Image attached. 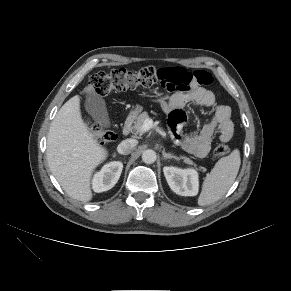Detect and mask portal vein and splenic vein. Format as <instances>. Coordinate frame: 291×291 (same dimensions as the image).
Returning a JSON list of instances; mask_svg holds the SVG:
<instances>
[{
  "label": "portal vein and splenic vein",
  "instance_id": "1",
  "mask_svg": "<svg viewBox=\"0 0 291 291\" xmlns=\"http://www.w3.org/2000/svg\"><path fill=\"white\" fill-rule=\"evenodd\" d=\"M153 126H154L153 121H152L151 119H147V120H145V122L143 123V125H142V129H143V131L145 132V131H148V130H150L151 128H153ZM160 133H161L162 136H165V132L160 131Z\"/></svg>",
  "mask_w": 291,
  "mask_h": 291
}]
</instances>
